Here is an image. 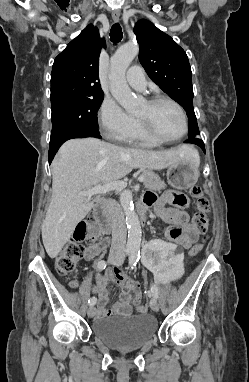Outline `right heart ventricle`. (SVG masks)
Instances as JSON below:
<instances>
[{
	"label": "right heart ventricle",
	"instance_id": "e07e8e85",
	"mask_svg": "<svg viewBox=\"0 0 249 382\" xmlns=\"http://www.w3.org/2000/svg\"><path fill=\"white\" fill-rule=\"evenodd\" d=\"M128 143L137 144L144 147H154L159 145L160 143H157L153 141L152 139L148 138L141 130L140 124L137 121L136 129L134 133L126 140Z\"/></svg>",
	"mask_w": 249,
	"mask_h": 382
}]
</instances>
